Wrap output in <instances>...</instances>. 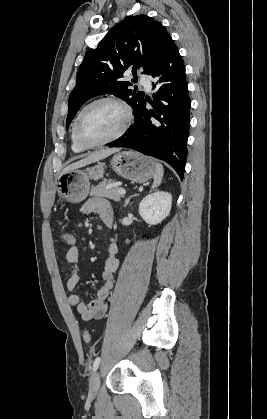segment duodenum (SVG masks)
I'll list each match as a JSON object with an SVG mask.
<instances>
[{"mask_svg":"<svg viewBox=\"0 0 267 419\" xmlns=\"http://www.w3.org/2000/svg\"><path fill=\"white\" fill-rule=\"evenodd\" d=\"M112 225V223L110 221L106 222V226L110 227Z\"/></svg>","mask_w":267,"mask_h":419,"instance_id":"duodenum-1","label":"duodenum"}]
</instances>
